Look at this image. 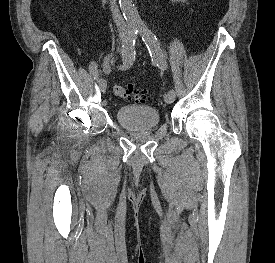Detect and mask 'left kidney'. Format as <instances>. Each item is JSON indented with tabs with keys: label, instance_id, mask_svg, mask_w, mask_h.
Returning <instances> with one entry per match:
<instances>
[{
	"label": "left kidney",
	"instance_id": "left-kidney-1",
	"mask_svg": "<svg viewBox=\"0 0 275 263\" xmlns=\"http://www.w3.org/2000/svg\"><path fill=\"white\" fill-rule=\"evenodd\" d=\"M174 1H177V2H185L186 0H174Z\"/></svg>",
	"mask_w": 275,
	"mask_h": 263
}]
</instances>
